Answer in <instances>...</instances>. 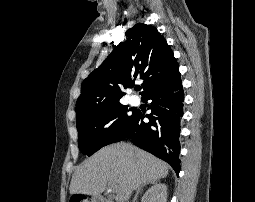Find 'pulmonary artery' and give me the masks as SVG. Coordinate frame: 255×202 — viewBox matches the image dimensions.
<instances>
[{"instance_id": "pulmonary-artery-1", "label": "pulmonary artery", "mask_w": 255, "mask_h": 202, "mask_svg": "<svg viewBox=\"0 0 255 202\" xmlns=\"http://www.w3.org/2000/svg\"><path fill=\"white\" fill-rule=\"evenodd\" d=\"M130 103L133 104V105L137 104V103H138L137 97L132 96V97L130 98Z\"/></svg>"}]
</instances>
